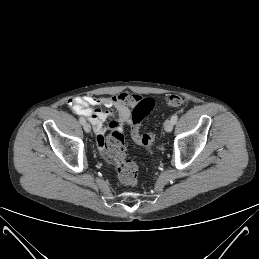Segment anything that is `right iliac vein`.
I'll use <instances>...</instances> for the list:
<instances>
[{"label":"right iliac vein","instance_id":"right-iliac-vein-1","mask_svg":"<svg viewBox=\"0 0 259 259\" xmlns=\"http://www.w3.org/2000/svg\"><path fill=\"white\" fill-rule=\"evenodd\" d=\"M83 128H84V130H85L86 133H90V131H91V126H90L89 123H84V124H83Z\"/></svg>","mask_w":259,"mask_h":259}]
</instances>
